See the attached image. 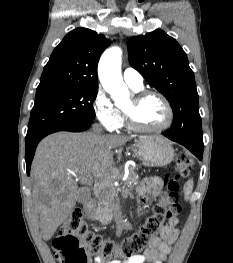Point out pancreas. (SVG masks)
<instances>
[{
    "mask_svg": "<svg viewBox=\"0 0 233 263\" xmlns=\"http://www.w3.org/2000/svg\"><path fill=\"white\" fill-rule=\"evenodd\" d=\"M138 179L139 176L131 169L124 182L127 188L123 190V196L130 194L128 188L135 187L138 184ZM117 200L115 193L101 192L98 196L97 205L90 211V217L103 225L109 224L113 219V212L116 208Z\"/></svg>",
    "mask_w": 233,
    "mask_h": 263,
    "instance_id": "pancreas-1",
    "label": "pancreas"
}]
</instances>
